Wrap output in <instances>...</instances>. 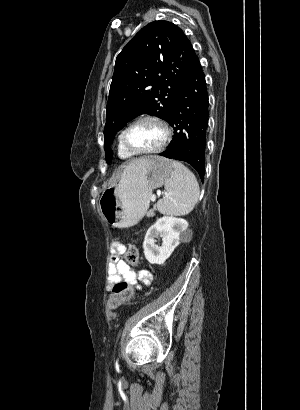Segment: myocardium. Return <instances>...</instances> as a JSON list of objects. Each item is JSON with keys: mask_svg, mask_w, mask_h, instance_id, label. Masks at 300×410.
Wrapping results in <instances>:
<instances>
[{"mask_svg": "<svg viewBox=\"0 0 300 410\" xmlns=\"http://www.w3.org/2000/svg\"><path fill=\"white\" fill-rule=\"evenodd\" d=\"M146 120L156 122L157 124L160 125L164 133L163 140L157 147L153 149H149V150L134 149L127 144L126 134L133 125H135L138 122L146 121ZM171 135H172L171 128L169 124L162 117L158 115H154V114H144V115H141L135 118L122 130L120 134V141H121L122 146L134 156L135 155H152V154L160 153L166 148V146L171 140Z\"/></svg>", "mask_w": 300, "mask_h": 410, "instance_id": "myocardium-1", "label": "myocardium"}]
</instances>
